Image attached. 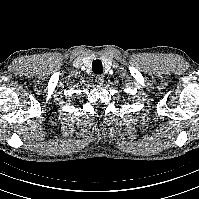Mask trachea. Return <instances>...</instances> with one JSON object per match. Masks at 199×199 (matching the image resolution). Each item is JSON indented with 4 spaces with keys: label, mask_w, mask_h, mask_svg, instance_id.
Wrapping results in <instances>:
<instances>
[{
    "label": "trachea",
    "mask_w": 199,
    "mask_h": 199,
    "mask_svg": "<svg viewBox=\"0 0 199 199\" xmlns=\"http://www.w3.org/2000/svg\"><path fill=\"white\" fill-rule=\"evenodd\" d=\"M92 70L95 74H102L103 73L102 62L100 60H94L92 62Z\"/></svg>",
    "instance_id": "3493384b"
}]
</instances>
